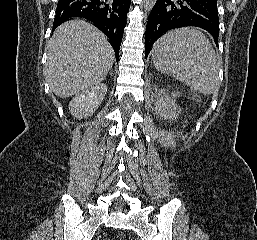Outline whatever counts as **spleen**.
<instances>
[{"label":"spleen","mask_w":257,"mask_h":240,"mask_svg":"<svg viewBox=\"0 0 257 240\" xmlns=\"http://www.w3.org/2000/svg\"><path fill=\"white\" fill-rule=\"evenodd\" d=\"M155 68L190 88L209 95L220 88V65L206 36L195 28L169 31L152 48Z\"/></svg>","instance_id":"spleen-1"}]
</instances>
